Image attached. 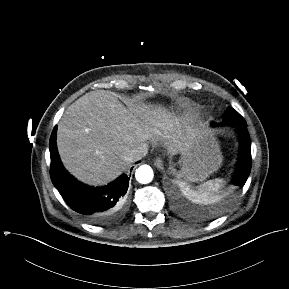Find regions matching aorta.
I'll use <instances>...</instances> for the list:
<instances>
[{"label": "aorta", "instance_id": "aorta-1", "mask_svg": "<svg viewBox=\"0 0 289 289\" xmlns=\"http://www.w3.org/2000/svg\"><path fill=\"white\" fill-rule=\"evenodd\" d=\"M135 177L139 183L147 184L152 181L153 170L149 165H141L136 170Z\"/></svg>", "mask_w": 289, "mask_h": 289}]
</instances>
